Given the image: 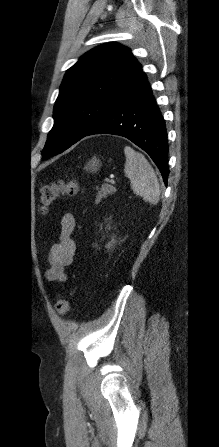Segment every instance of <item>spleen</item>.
<instances>
[{"label": "spleen", "instance_id": "3e777b00", "mask_svg": "<svg viewBox=\"0 0 219 447\" xmlns=\"http://www.w3.org/2000/svg\"><path fill=\"white\" fill-rule=\"evenodd\" d=\"M124 172L130 179L133 192L150 204H157L160 196L158 179L147 159L131 147H125Z\"/></svg>", "mask_w": 219, "mask_h": 447}]
</instances>
